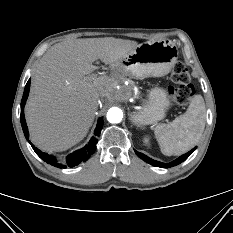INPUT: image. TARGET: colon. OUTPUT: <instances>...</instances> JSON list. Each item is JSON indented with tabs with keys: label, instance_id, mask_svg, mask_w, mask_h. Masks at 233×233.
Instances as JSON below:
<instances>
[{
	"label": "colon",
	"instance_id": "colon-1",
	"mask_svg": "<svg viewBox=\"0 0 233 233\" xmlns=\"http://www.w3.org/2000/svg\"><path fill=\"white\" fill-rule=\"evenodd\" d=\"M171 79L175 86L169 88V94L173 102L178 105H186L189 103L193 89L190 83V75L181 62H177L171 72Z\"/></svg>",
	"mask_w": 233,
	"mask_h": 233
}]
</instances>
